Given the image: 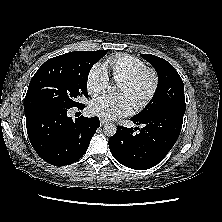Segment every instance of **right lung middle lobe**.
Segmentation results:
<instances>
[{"instance_id":"obj_1","label":"right lung middle lobe","mask_w":222,"mask_h":222,"mask_svg":"<svg viewBox=\"0 0 222 222\" xmlns=\"http://www.w3.org/2000/svg\"><path fill=\"white\" fill-rule=\"evenodd\" d=\"M106 52L75 51L47 60L30 81L24 100L25 112L44 106H82L79 98L88 97L89 71Z\"/></svg>"}]
</instances>
